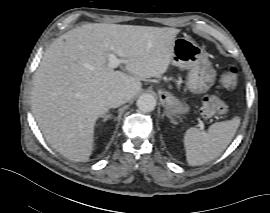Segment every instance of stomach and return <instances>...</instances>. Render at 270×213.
<instances>
[{
    "mask_svg": "<svg viewBox=\"0 0 270 213\" xmlns=\"http://www.w3.org/2000/svg\"><path fill=\"white\" fill-rule=\"evenodd\" d=\"M171 63L189 70L186 87L193 94H204L215 83L216 72L210 61L200 48L187 38L179 37L174 40ZM159 97L165 114L170 118L190 111L187 104L167 90H159Z\"/></svg>",
    "mask_w": 270,
    "mask_h": 213,
    "instance_id": "obj_1",
    "label": "stomach"
}]
</instances>
